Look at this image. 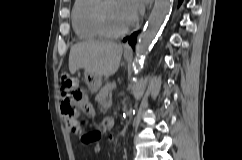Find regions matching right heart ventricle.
I'll return each instance as SVG.
<instances>
[{"instance_id":"obj_1","label":"right heart ventricle","mask_w":242,"mask_h":160,"mask_svg":"<svg viewBox=\"0 0 242 160\" xmlns=\"http://www.w3.org/2000/svg\"><path fill=\"white\" fill-rule=\"evenodd\" d=\"M98 0H75L71 20L75 34L82 40H96L103 36L95 27L93 10Z\"/></svg>"}]
</instances>
